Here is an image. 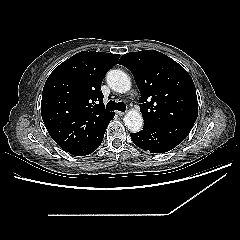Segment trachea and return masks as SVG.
<instances>
[{
  "label": "trachea",
  "instance_id": "obj_1",
  "mask_svg": "<svg viewBox=\"0 0 240 240\" xmlns=\"http://www.w3.org/2000/svg\"><path fill=\"white\" fill-rule=\"evenodd\" d=\"M106 110H118L124 112L126 110V105L123 102H115L114 100H110L106 105Z\"/></svg>",
  "mask_w": 240,
  "mask_h": 240
}]
</instances>
